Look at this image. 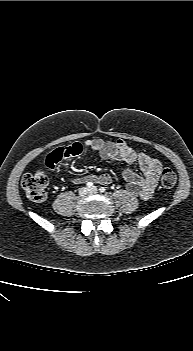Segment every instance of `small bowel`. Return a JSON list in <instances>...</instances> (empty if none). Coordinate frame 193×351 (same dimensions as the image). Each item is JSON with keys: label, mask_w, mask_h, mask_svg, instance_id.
Segmentation results:
<instances>
[{"label": "small bowel", "mask_w": 193, "mask_h": 351, "mask_svg": "<svg viewBox=\"0 0 193 351\" xmlns=\"http://www.w3.org/2000/svg\"><path fill=\"white\" fill-rule=\"evenodd\" d=\"M84 149H91L101 159L111 160L116 162H125L129 165L139 167L141 174L136 173L131 168H126L123 171V177L126 181V190L132 195H139L143 199H149L154 193L157 185L162 165L151 156L136 152L124 140L105 141L100 138L87 139L82 144L73 142L70 146H61L53 149L45 156L44 168L47 171H54L59 162H73ZM99 183L109 185L112 182V177L109 174L97 175H82L71 179L74 185L84 183Z\"/></svg>", "instance_id": "small-bowel-1"}]
</instances>
